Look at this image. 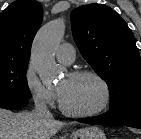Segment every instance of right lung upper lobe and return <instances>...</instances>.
Here are the masks:
<instances>
[{
	"label": "right lung upper lobe",
	"instance_id": "obj_1",
	"mask_svg": "<svg viewBox=\"0 0 141 139\" xmlns=\"http://www.w3.org/2000/svg\"><path fill=\"white\" fill-rule=\"evenodd\" d=\"M42 17V5L36 0H17L0 13V60H29Z\"/></svg>",
	"mask_w": 141,
	"mask_h": 139
}]
</instances>
